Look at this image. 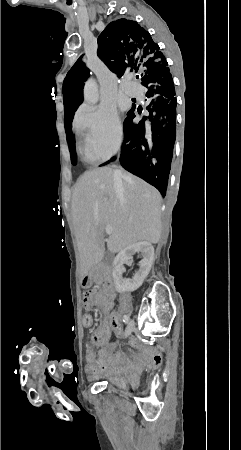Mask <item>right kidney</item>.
I'll list each match as a JSON object with an SVG mask.
<instances>
[{
    "mask_svg": "<svg viewBox=\"0 0 241 450\" xmlns=\"http://www.w3.org/2000/svg\"><path fill=\"white\" fill-rule=\"evenodd\" d=\"M139 254L143 260L139 262V270L134 274L132 280L122 278L125 268L123 264H130L133 256ZM154 262V248L150 242H137L132 246H127L121 250L120 254L114 258L113 278L116 292H134L142 286L146 276H148Z\"/></svg>",
    "mask_w": 241,
    "mask_h": 450,
    "instance_id": "1",
    "label": "right kidney"
}]
</instances>
